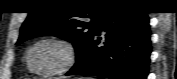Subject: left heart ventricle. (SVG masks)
I'll use <instances>...</instances> for the list:
<instances>
[{
  "label": "left heart ventricle",
  "instance_id": "b2bd125f",
  "mask_svg": "<svg viewBox=\"0 0 177 79\" xmlns=\"http://www.w3.org/2000/svg\"><path fill=\"white\" fill-rule=\"evenodd\" d=\"M65 59L64 49L52 42L42 43L32 53L34 66L41 71H52L58 68Z\"/></svg>",
  "mask_w": 177,
  "mask_h": 79
}]
</instances>
